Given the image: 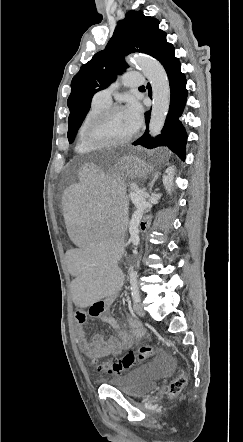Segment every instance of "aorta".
Listing matches in <instances>:
<instances>
[{
    "instance_id": "762f6f07",
    "label": "aorta",
    "mask_w": 243,
    "mask_h": 442,
    "mask_svg": "<svg viewBox=\"0 0 243 442\" xmlns=\"http://www.w3.org/2000/svg\"><path fill=\"white\" fill-rule=\"evenodd\" d=\"M133 63L149 80L152 87V111L149 133L152 137L159 135L165 124L170 106V85L163 66L149 56H136Z\"/></svg>"
}]
</instances>
